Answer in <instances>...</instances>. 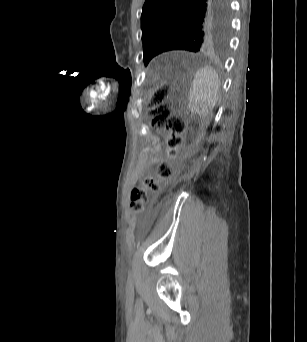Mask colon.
Listing matches in <instances>:
<instances>
[{
    "mask_svg": "<svg viewBox=\"0 0 307 342\" xmlns=\"http://www.w3.org/2000/svg\"><path fill=\"white\" fill-rule=\"evenodd\" d=\"M151 115L156 128L168 131V159L159 163L155 176L146 175L141 183L131 191V207L137 212L146 211L150 204V194L159 191L161 180L171 178L174 173L171 160L174 159L182 144V134L186 129L185 122L168 107L166 100L171 93L170 87H151Z\"/></svg>",
    "mask_w": 307,
    "mask_h": 342,
    "instance_id": "obj_1",
    "label": "colon"
}]
</instances>
